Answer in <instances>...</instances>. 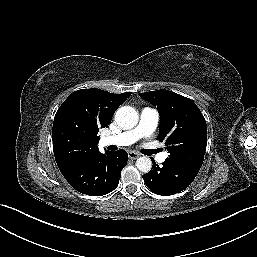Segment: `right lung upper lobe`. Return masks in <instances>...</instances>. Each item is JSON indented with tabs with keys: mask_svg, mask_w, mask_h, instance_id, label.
<instances>
[{
	"mask_svg": "<svg viewBox=\"0 0 257 257\" xmlns=\"http://www.w3.org/2000/svg\"><path fill=\"white\" fill-rule=\"evenodd\" d=\"M131 95L100 89L73 92L59 107L53 122L52 139L56 163L73 164L98 152V131L106 127L116 109Z\"/></svg>",
	"mask_w": 257,
	"mask_h": 257,
	"instance_id": "obj_1",
	"label": "right lung upper lobe"
}]
</instances>
